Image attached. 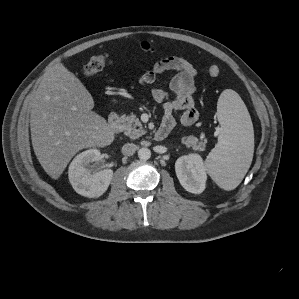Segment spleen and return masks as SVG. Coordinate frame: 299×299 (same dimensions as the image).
I'll use <instances>...</instances> for the list:
<instances>
[{
	"instance_id": "1",
	"label": "spleen",
	"mask_w": 299,
	"mask_h": 299,
	"mask_svg": "<svg viewBox=\"0 0 299 299\" xmlns=\"http://www.w3.org/2000/svg\"><path fill=\"white\" fill-rule=\"evenodd\" d=\"M217 118L220 135L205 167L217 185L229 191L242 182L252 162L253 125L243 100L231 89L224 90L218 99Z\"/></svg>"
}]
</instances>
